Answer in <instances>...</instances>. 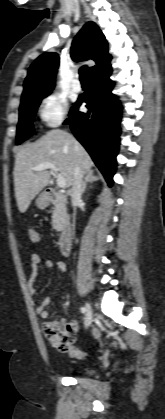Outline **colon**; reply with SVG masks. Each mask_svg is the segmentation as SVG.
I'll list each match as a JSON object with an SVG mask.
<instances>
[{
	"instance_id": "colon-1",
	"label": "colon",
	"mask_w": 165,
	"mask_h": 419,
	"mask_svg": "<svg viewBox=\"0 0 165 419\" xmlns=\"http://www.w3.org/2000/svg\"><path fill=\"white\" fill-rule=\"evenodd\" d=\"M28 235L32 242H39L40 236L36 229L29 228ZM42 332L47 339L57 345L68 343L72 337L69 325H63L57 321H46L42 324Z\"/></svg>"
}]
</instances>
